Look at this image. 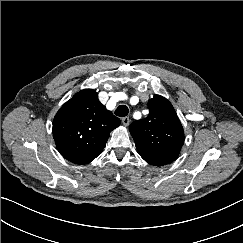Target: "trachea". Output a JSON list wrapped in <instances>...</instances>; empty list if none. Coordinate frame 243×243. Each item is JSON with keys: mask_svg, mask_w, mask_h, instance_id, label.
Returning a JSON list of instances; mask_svg holds the SVG:
<instances>
[{"mask_svg": "<svg viewBox=\"0 0 243 243\" xmlns=\"http://www.w3.org/2000/svg\"><path fill=\"white\" fill-rule=\"evenodd\" d=\"M128 107L125 105H120L118 108L115 110V115L119 117H125L128 115Z\"/></svg>", "mask_w": 243, "mask_h": 243, "instance_id": "3493384b", "label": "trachea"}]
</instances>
